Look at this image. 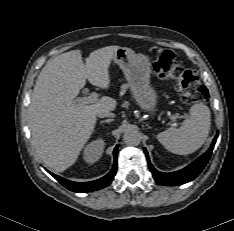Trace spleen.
Returning <instances> with one entry per match:
<instances>
[{"label": "spleen", "instance_id": "spleen-1", "mask_svg": "<svg viewBox=\"0 0 234 231\" xmlns=\"http://www.w3.org/2000/svg\"><path fill=\"white\" fill-rule=\"evenodd\" d=\"M189 118L180 128H169L157 135L158 141L170 152L187 155L198 150L206 141L211 124L208 106L194 104L189 111Z\"/></svg>", "mask_w": 234, "mask_h": 231}]
</instances>
